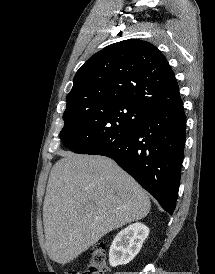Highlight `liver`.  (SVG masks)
I'll return each instance as SVG.
<instances>
[{
    "label": "liver",
    "instance_id": "6515ba94",
    "mask_svg": "<svg viewBox=\"0 0 215 274\" xmlns=\"http://www.w3.org/2000/svg\"><path fill=\"white\" fill-rule=\"evenodd\" d=\"M43 204L48 256L66 264L110 231L146 217L148 194L112 159L60 152Z\"/></svg>",
    "mask_w": 215,
    "mask_h": 274
}]
</instances>
